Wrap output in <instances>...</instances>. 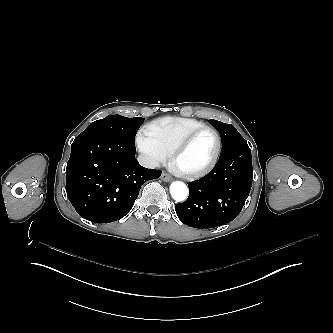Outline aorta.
<instances>
[{
	"mask_svg": "<svg viewBox=\"0 0 333 333\" xmlns=\"http://www.w3.org/2000/svg\"><path fill=\"white\" fill-rule=\"evenodd\" d=\"M170 194L177 202L185 201L189 194L188 187L182 181H174L170 185Z\"/></svg>",
	"mask_w": 333,
	"mask_h": 333,
	"instance_id": "aorta-1",
	"label": "aorta"
}]
</instances>
